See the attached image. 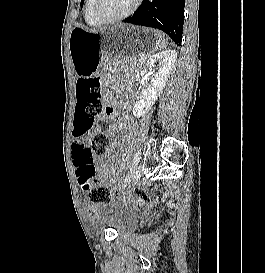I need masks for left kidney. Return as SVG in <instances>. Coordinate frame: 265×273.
I'll return each instance as SVG.
<instances>
[{"instance_id":"left-kidney-1","label":"left kidney","mask_w":265,"mask_h":273,"mask_svg":"<svg viewBox=\"0 0 265 273\" xmlns=\"http://www.w3.org/2000/svg\"><path fill=\"white\" fill-rule=\"evenodd\" d=\"M177 53L175 51H162L149 58L147 67L153 68L158 63L159 69L150 77V85L145 87L133 107L135 117L144 116L153 106L158 96L162 92L167 79L176 62Z\"/></svg>"}]
</instances>
